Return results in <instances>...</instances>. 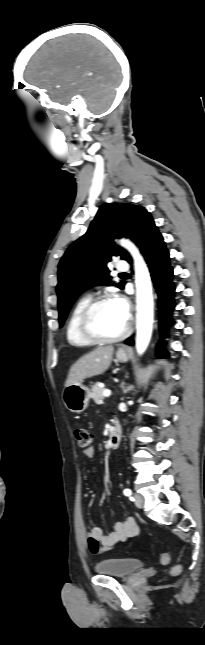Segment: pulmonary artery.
Returning a JSON list of instances; mask_svg holds the SVG:
<instances>
[{"label":"pulmonary artery","mask_w":205,"mask_h":645,"mask_svg":"<svg viewBox=\"0 0 205 645\" xmlns=\"http://www.w3.org/2000/svg\"><path fill=\"white\" fill-rule=\"evenodd\" d=\"M116 269L119 272H125L129 269V265L126 261H119L116 265Z\"/></svg>","instance_id":"1"}]
</instances>
